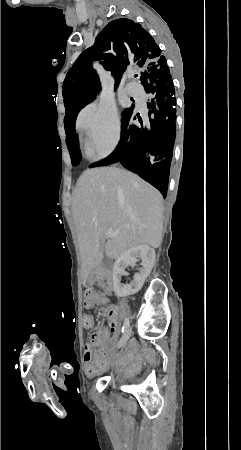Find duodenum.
I'll return each instance as SVG.
<instances>
[{"instance_id": "duodenum-1", "label": "duodenum", "mask_w": 241, "mask_h": 450, "mask_svg": "<svg viewBox=\"0 0 241 450\" xmlns=\"http://www.w3.org/2000/svg\"><path fill=\"white\" fill-rule=\"evenodd\" d=\"M110 279V274L107 271H95L88 276V283H107Z\"/></svg>"}]
</instances>
